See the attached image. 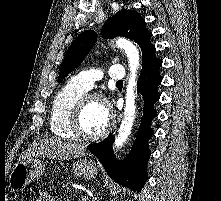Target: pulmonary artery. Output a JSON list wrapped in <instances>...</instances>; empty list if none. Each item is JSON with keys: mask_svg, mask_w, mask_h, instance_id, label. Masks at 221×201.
<instances>
[{"mask_svg": "<svg viewBox=\"0 0 221 201\" xmlns=\"http://www.w3.org/2000/svg\"><path fill=\"white\" fill-rule=\"evenodd\" d=\"M108 76L112 80L122 81L125 77V70L121 65H112L108 69ZM102 77L103 72L101 70L92 69L78 73L73 81L85 90H90L95 82L101 80Z\"/></svg>", "mask_w": 221, "mask_h": 201, "instance_id": "1", "label": "pulmonary artery"}]
</instances>
